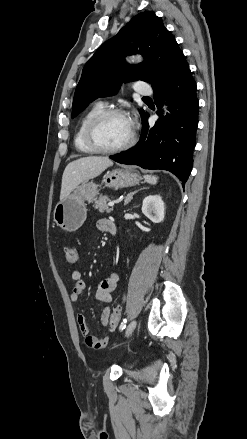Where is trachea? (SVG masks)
Here are the masks:
<instances>
[{
	"instance_id": "obj_1",
	"label": "trachea",
	"mask_w": 247,
	"mask_h": 439,
	"mask_svg": "<svg viewBox=\"0 0 247 439\" xmlns=\"http://www.w3.org/2000/svg\"><path fill=\"white\" fill-rule=\"evenodd\" d=\"M143 99H149V97H143Z\"/></svg>"
}]
</instances>
